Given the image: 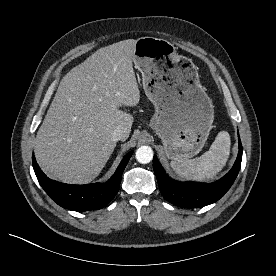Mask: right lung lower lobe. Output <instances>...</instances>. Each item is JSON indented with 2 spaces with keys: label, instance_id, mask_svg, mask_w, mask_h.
I'll list each match as a JSON object with an SVG mask.
<instances>
[{
  "label": "right lung lower lobe",
  "instance_id": "obj_1",
  "mask_svg": "<svg viewBox=\"0 0 276 276\" xmlns=\"http://www.w3.org/2000/svg\"><path fill=\"white\" fill-rule=\"evenodd\" d=\"M132 153L133 151L124 156L114 175L104 184L71 185L60 183L49 179L42 172L34 155H32V163L40 185L54 202L69 210L88 211L101 209L114 198L120 187L122 173Z\"/></svg>",
  "mask_w": 276,
  "mask_h": 276
}]
</instances>
